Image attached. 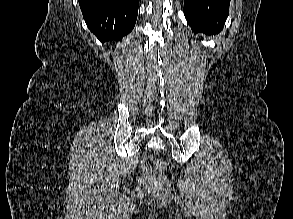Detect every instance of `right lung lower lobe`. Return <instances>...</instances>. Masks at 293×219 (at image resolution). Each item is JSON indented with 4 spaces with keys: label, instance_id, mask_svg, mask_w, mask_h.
<instances>
[{
    "label": "right lung lower lobe",
    "instance_id": "98d812e1",
    "mask_svg": "<svg viewBox=\"0 0 293 219\" xmlns=\"http://www.w3.org/2000/svg\"><path fill=\"white\" fill-rule=\"evenodd\" d=\"M88 28L100 41L120 40L134 28L138 0H79Z\"/></svg>",
    "mask_w": 293,
    "mask_h": 219
}]
</instances>
